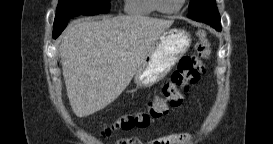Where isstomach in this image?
<instances>
[{"mask_svg":"<svg viewBox=\"0 0 273 144\" xmlns=\"http://www.w3.org/2000/svg\"><path fill=\"white\" fill-rule=\"evenodd\" d=\"M190 35L183 29L165 30L149 49L135 73L138 87H150L163 79L176 62L188 51Z\"/></svg>","mask_w":273,"mask_h":144,"instance_id":"0dacf381","label":"stomach"}]
</instances>
